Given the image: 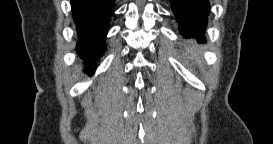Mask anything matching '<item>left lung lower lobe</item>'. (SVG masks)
Returning <instances> with one entry per match:
<instances>
[{"label":"left lung lower lobe","mask_w":273,"mask_h":144,"mask_svg":"<svg viewBox=\"0 0 273 144\" xmlns=\"http://www.w3.org/2000/svg\"><path fill=\"white\" fill-rule=\"evenodd\" d=\"M170 2L179 24L180 34L204 43V28L210 9L209 0H170Z\"/></svg>","instance_id":"left-lung-lower-lobe-1"}]
</instances>
